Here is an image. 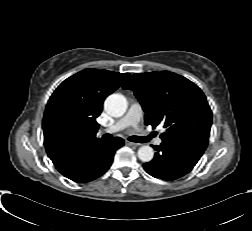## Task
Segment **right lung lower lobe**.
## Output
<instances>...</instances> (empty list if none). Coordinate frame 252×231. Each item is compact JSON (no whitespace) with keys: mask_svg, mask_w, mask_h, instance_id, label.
<instances>
[{"mask_svg":"<svg viewBox=\"0 0 252 231\" xmlns=\"http://www.w3.org/2000/svg\"><path fill=\"white\" fill-rule=\"evenodd\" d=\"M124 145L122 138L89 143L81 148L73 169L65 175L77 183L90 182L103 175L111 166L116 150Z\"/></svg>","mask_w":252,"mask_h":231,"instance_id":"right-lung-lower-lobe-1","label":"right lung lower lobe"}]
</instances>
